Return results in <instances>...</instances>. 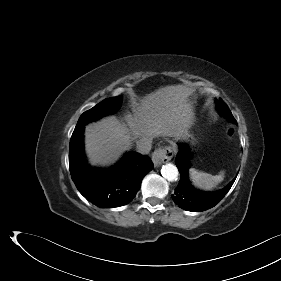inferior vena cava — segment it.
<instances>
[{"mask_svg": "<svg viewBox=\"0 0 281 281\" xmlns=\"http://www.w3.org/2000/svg\"><path fill=\"white\" fill-rule=\"evenodd\" d=\"M152 148V138H142L136 142V150L141 154H148Z\"/></svg>", "mask_w": 281, "mask_h": 281, "instance_id": "602c4592", "label": "inferior vena cava"}]
</instances>
